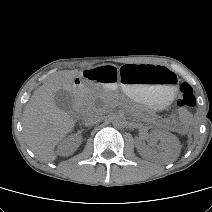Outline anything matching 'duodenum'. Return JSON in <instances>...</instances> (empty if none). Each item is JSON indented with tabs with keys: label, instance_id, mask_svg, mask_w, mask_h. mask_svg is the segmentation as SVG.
<instances>
[{
	"label": "duodenum",
	"instance_id": "obj_1",
	"mask_svg": "<svg viewBox=\"0 0 212 212\" xmlns=\"http://www.w3.org/2000/svg\"><path fill=\"white\" fill-rule=\"evenodd\" d=\"M84 91V84L80 81L75 87H74V98L76 101V105L78 106L80 99L82 97Z\"/></svg>",
	"mask_w": 212,
	"mask_h": 212
}]
</instances>
